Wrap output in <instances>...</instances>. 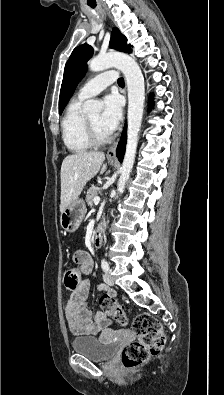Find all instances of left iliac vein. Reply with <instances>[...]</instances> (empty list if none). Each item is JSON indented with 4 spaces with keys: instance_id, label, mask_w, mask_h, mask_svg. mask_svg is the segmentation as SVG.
Wrapping results in <instances>:
<instances>
[{
    "instance_id": "4c4485c4",
    "label": "left iliac vein",
    "mask_w": 224,
    "mask_h": 395,
    "mask_svg": "<svg viewBox=\"0 0 224 395\" xmlns=\"http://www.w3.org/2000/svg\"><path fill=\"white\" fill-rule=\"evenodd\" d=\"M103 279H104V281H105V283L107 285H109V286H113L114 285V280H113V277L111 276L110 272H106L103 275Z\"/></svg>"
}]
</instances>
